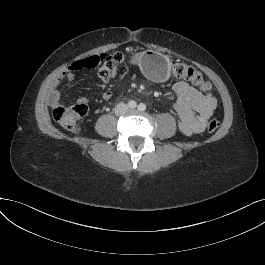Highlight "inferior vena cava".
Returning a JSON list of instances; mask_svg holds the SVG:
<instances>
[{
  "instance_id": "inferior-vena-cava-1",
  "label": "inferior vena cava",
  "mask_w": 265,
  "mask_h": 265,
  "mask_svg": "<svg viewBox=\"0 0 265 265\" xmlns=\"http://www.w3.org/2000/svg\"><path fill=\"white\" fill-rule=\"evenodd\" d=\"M128 110H129V107L127 106V104L120 102L116 105L115 114L117 116H121V115H124L125 113H127Z\"/></svg>"
}]
</instances>
